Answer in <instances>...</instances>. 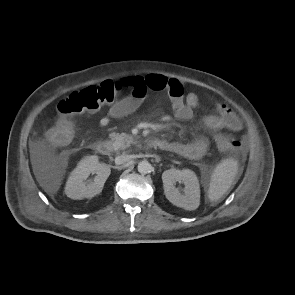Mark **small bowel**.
<instances>
[{"label":"small bowel","mask_w":295,"mask_h":295,"mask_svg":"<svg viewBox=\"0 0 295 295\" xmlns=\"http://www.w3.org/2000/svg\"><path fill=\"white\" fill-rule=\"evenodd\" d=\"M122 81L131 84L132 92L129 96L110 106L107 114L100 119L102 127H106L112 119L122 118L136 111L143 103L149 90L165 92L171 101L174 117L181 121L191 119L194 109L199 104L198 95L194 92L186 94L183 84L174 78L150 74L145 77H130ZM204 124L210 131L221 129L238 131L241 128V121L236 114L222 103L217 104V114L208 116ZM162 142L161 149L190 159L201 158L209 148V140L206 137H199L188 143L165 140Z\"/></svg>","instance_id":"small-bowel-1"}]
</instances>
